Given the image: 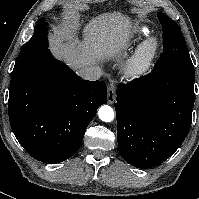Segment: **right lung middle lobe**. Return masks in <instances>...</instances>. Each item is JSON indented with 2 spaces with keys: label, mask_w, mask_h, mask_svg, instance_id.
<instances>
[{
  "label": "right lung middle lobe",
  "mask_w": 199,
  "mask_h": 199,
  "mask_svg": "<svg viewBox=\"0 0 199 199\" xmlns=\"http://www.w3.org/2000/svg\"><path fill=\"white\" fill-rule=\"evenodd\" d=\"M47 22L41 17L35 25L32 38L23 46L15 62L13 72L26 66L30 61L43 54L48 49Z\"/></svg>",
  "instance_id": "1"
}]
</instances>
